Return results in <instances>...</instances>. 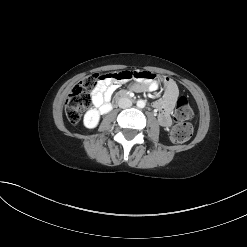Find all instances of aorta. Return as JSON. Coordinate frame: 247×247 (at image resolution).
Returning <instances> with one entry per match:
<instances>
[{
  "label": "aorta",
  "instance_id": "762f6f07",
  "mask_svg": "<svg viewBox=\"0 0 247 247\" xmlns=\"http://www.w3.org/2000/svg\"><path fill=\"white\" fill-rule=\"evenodd\" d=\"M136 105L138 108H144L146 105V102L144 100H138Z\"/></svg>",
  "mask_w": 247,
  "mask_h": 247
}]
</instances>
